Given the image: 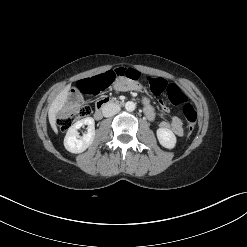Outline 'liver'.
I'll return each instance as SVG.
<instances>
[{"label": "liver", "instance_id": "1", "mask_svg": "<svg viewBox=\"0 0 247 247\" xmlns=\"http://www.w3.org/2000/svg\"><path fill=\"white\" fill-rule=\"evenodd\" d=\"M71 85L68 84L53 100L49 107L48 118L53 131L57 134L56 115L65 106Z\"/></svg>", "mask_w": 247, "mask_h": 247}]
</instances>
